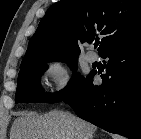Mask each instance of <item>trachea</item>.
Returning <instances> with one entry per match:
<instances>
[{
  "label": "trachea",
  "mask_w": 141,
  "mask_h": 139,
  "mask_svg": "<svg viewBox=\"0 0 141 139\" xmlns=\"http://www.w3.org/2000/svg\"><path fill=\"white\" fill-rule=\"evenodd\" d=\"M98 46V44H95V47H97Z\"/></svg>",
  "instance_id": "obj_1"
}]
</instances>
